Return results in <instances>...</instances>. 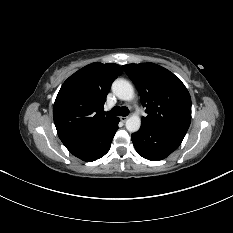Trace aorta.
<instances>
[{
    "label": "aorta",
    "mask_w": 233,
    "mask_h": 233,
    "mask_svg": "<svg viewBox=\"0 0 233 233\" xmlns=\"http://www.w3.org/2000/svg\"><path fill=\"white\" fill-rule=\"evenodd\" d=\"M113 93L121 100L130 101L134 98L133 86L125 79H116L112 84ZM141 126L139 115L133 114L126 121V129L131 132H137Z\"/></svg>",
    "instance_id": "aorta-1"
}]
</instances>
